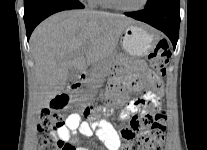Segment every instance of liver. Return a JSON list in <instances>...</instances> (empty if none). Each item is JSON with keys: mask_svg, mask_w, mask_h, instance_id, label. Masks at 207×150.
<instances>
[{"mask_svg": "<svg viewBox=\"0 0 207 150\" xmlns=\"http://www.w3.org/2000/svg\"><path fill=\"white\" fill-rule=\"evenodd\" d=\"M136 21L123 15L92 10H68L44 20L31 35L35 63L31 104L46 108L66 85L70 70L84 73L109 58L124 30Z\"/></svg>", "mask_w": 207, "mask_h": 150, "instance_id": "6515ba94", "label": "liver"}]
</instances>
